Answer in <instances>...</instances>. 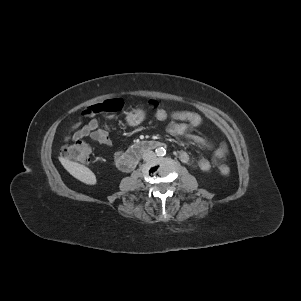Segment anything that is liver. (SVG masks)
Instances as JSON below:
<instances>
[{
	"mask_svg": "<svg viewBox=\"0 0 301 301\" xmlns=\"http://www.w3.org/2000/svg\"><path fill=\"white\" fill-rule=\"evenodd\" d=\"M59 160L63 167L75 178L82 181L83 183L94 185L96 184V176L94 173L84 165L77 162H72L63 157H59Z\"/></svg>",
	"mask_w": 301,
	"mask_h": 301,
	"instance_id": "1",
	"label": "liver"
}]
</instances>
